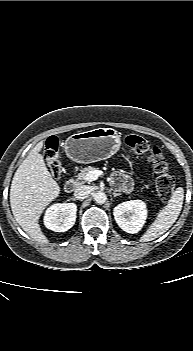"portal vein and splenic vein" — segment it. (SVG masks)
<instances>
[{"label":"portal vein and splenic vein","instance_id":"18ae733b","mask_svg":"<svg viewBox=\"0 0 193 351\" xmlns=\"http://www.w3.org/2000/svg\"><path fill=\"white\" fill-rule=\"evenodd\" d=\"M102 174H103V171H101V170H93V171H90V172L87 174L86 179H87L88 181L92 182V181L97 180L98 177H99L100 175H102Z\"/></svg>","mask_w":193,"mask_h":351}]
</instances>
